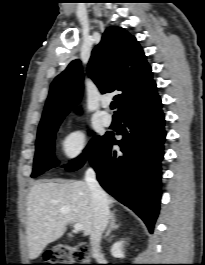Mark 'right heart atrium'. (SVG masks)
I'll return each instance as SVG.
<instances>
[{
  "instance_id": "d8ad5b80",
  "label": "right heart atrium",
  "mask_w": 205,
  "mask_h": 265,
  "mask_svg": "<svg viewBox=\"0 0 205 265\" xmlns=\"http://www.w3.org/2000/svg\"><path fill=\"white\" fill-rule=\"evenodd\" d=\"M86 147V134L83 129L75 128L69 131L61 141V151L69 160L78 159Z\"/></svg>"
}]
</instances>
